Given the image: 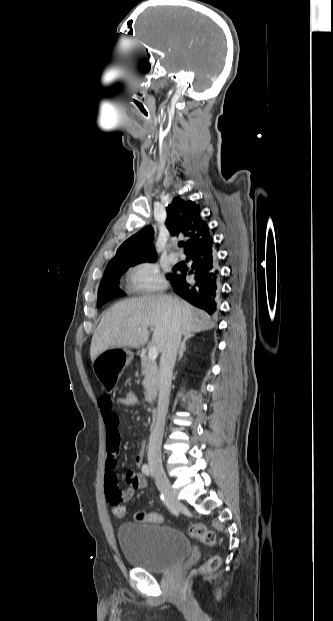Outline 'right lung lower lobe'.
<instances>
[{"instance_id":"1","label":"right lung lower lobe","mask_w":333,"mask_h":621,"mask_svg":"<svg viewBox=\"0 0 333 621\" xmlns=\"http://www.w3.org/2000/svg\"><path fill=\"white\" fill-rule=\"evenodd\" d=\"M187 261H191V270L188 275L192 281H186L187 268L180 269L182 274L171 273L167 279L174 292L194 306L204 309L209 314L216 311L217 299L220 291V275L213 244L202 250H195L186 254Z\"/></svg>"}]
</instances>
